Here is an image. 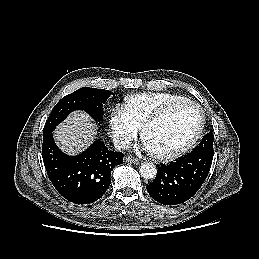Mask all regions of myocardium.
Listing matches in <instances>:
<instances>
[{
  "label": "myocardium",
  "instance_id": "obj_1",
  "mask_svg": "<svg viewBox=\"0 0 259 259\" xmlns=\"http://www.w3.org/2000/svg\"><path fill=\"white\" fill-rule=\"evenodd\" d=\"M181 105H191V106H194L198 110V112L200 114L199 125H198L197 129L195 130V132L193 133V135L179 147H177L171 151H168V152H162V153L151 152V154L158 160L170 161V160H174V159L180 157L181 155H183L184 153L189 151L196 144V142L198 141V139L200 138V136L203 132V129L205 126L204 110L197 102L186 98V99L177 100V101L166 104L165 106L160 108L157 112H155L153 115H151L149 118H147L143 122V124L141 125V128H140L141 138L144 139V134L151 125L157 123L162 118H164L170 111H172L174 108L179 107Z\"/></svg>",
  "mask_w": 259,
  "mask_h": 259
}]
</instances>
